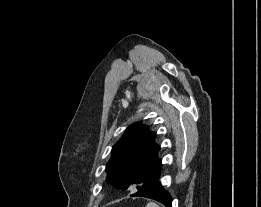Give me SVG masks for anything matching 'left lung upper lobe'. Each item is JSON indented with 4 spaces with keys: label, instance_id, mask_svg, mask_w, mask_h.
<instances>
[{
    "label": "left lung upper lobe",
    "instance_id": "left-lung-upper-lobe-1",
    "mask_svg": "<svg viewBox=\"0 0 261 207\" xmlns=\"http://www.w3.org/2000/svg\"><path fill=\"white\" fill-rule=\"evenodd\" d=\"M155 133L136 122L130 125L122 138L113 146L108 162L106 180L118 190L139 187L160 174L159 147Z\"/></svg>",
    "mask_w": 261,
    "mask_h": 207
}]
</instances>
